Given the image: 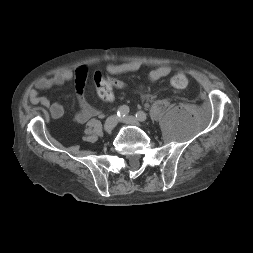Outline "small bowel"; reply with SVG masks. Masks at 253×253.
Wrapping results in <instances>:
<instances>
[{"mask_svg": "<svg viewBox=\"0 0 253 253\" xmlns=\"http://www.w3.org/2000/svg\"><path fill=\"white\" fill-rule=\"evenodd\" d=\"M142 64L138 61H130L124 63L111 62L106 66V71L112 75H121L125 73L135 72L141 68ZM171 67L169 65H161L149 72L148 78L151 83H156L163 77L168 76L171 73ZM88 75L86 66H79L74 71L65 70L54 74L51 77L41 78L37 81L35 88L29 93V100L31 104H40L42 107L48 109L51 118L59 119L64 114V107L59 102L51 103L46 97L40 94L42 90H48L50 88L61 86L64 83L74 80L77 92V99L80 110L75 116V120L78 123H86L89 119L98 116L99 110L90 105L84 97V84Z\"/></svg>", "mask_w": 253, "mask_h": 253, "instance_id": "obj_1", "label": "small bowel"}]
</instances>
